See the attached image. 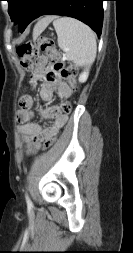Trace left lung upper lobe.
<instances>
[{"label": "left lung upper lobe", "mask_w": 133, "mask_h": 253, "mask_svg": "<svg viewBox=\"0 0 133 253\" xmlns=\"http://www.w3.org/2000/svg\"><path fill=\"white\" fill-rule=\"evenodd\" d=\"M8 1V13L15 24L19 23L24 8L29 0H6Z\"/></svg>", "instance_id": "left-lung-upper-lobe-1"}]
</instances>
